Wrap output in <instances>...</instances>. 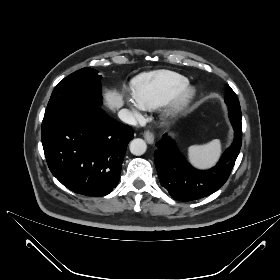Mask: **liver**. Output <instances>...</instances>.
Here are the masks:
<instances>
[{"instance_id":"obj_1","label":"liver","mask_w":280,"mask_h":280,"mask_svg":"<svg viewBox=\"0 0 280 280\" xmlns=\"http://www.w3.org/2000/svg\"><path fill=\"white\" fill-rule=\"evenodd\" d=\"M105 104L115 110L123 106V97L115 90H108L104 94Z\"/></svg>"}]
</instances>
